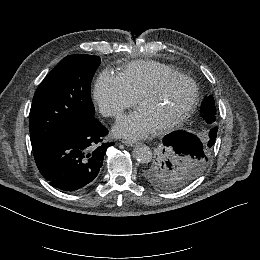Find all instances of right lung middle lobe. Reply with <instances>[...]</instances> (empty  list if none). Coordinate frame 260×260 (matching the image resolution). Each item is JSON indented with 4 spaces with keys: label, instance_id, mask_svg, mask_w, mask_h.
<instances>
[{
    "label": "right lung middle lobe",
    "instance_id": "1",
    "mask_svg": "<svg viewBox=\"0 0 260 260\" xmlns=\"http://www.w3.org/2000/svg\"><path fill=\"white\" fill-rule=\"evenodd\" d=\"M99 65L98 56L69 55L45 77L29 115L32 149L71 134L94 118L90 86Z\"/></svg>",
    "mask_w": 260,
    "mask_h": 260
}]
</instances>
